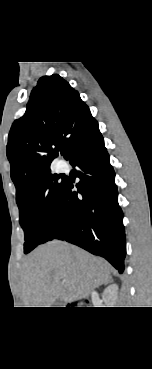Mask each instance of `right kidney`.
Masks as SVG:
<instances>
[{
  "label": "right kidney",
  "instance_id": "right-kidney-1",
  "mask_svg": "<svg viewBox=\"0 0 152 369\" xmlns=\"http://www.w3.org/2000/svg\"><path fill=\"white\" fill-rule=\"evenodd\" d=\"M118 297V285L110 284L105 288L102 299L106 304H114Z\"/></svg>",
  "mask_w": 152,
  "mask_h": 369
}]
</instances>
